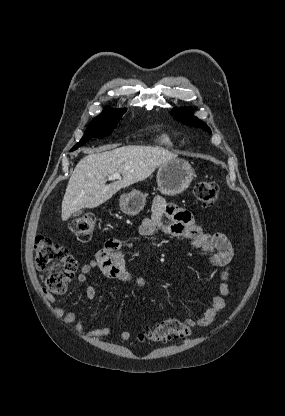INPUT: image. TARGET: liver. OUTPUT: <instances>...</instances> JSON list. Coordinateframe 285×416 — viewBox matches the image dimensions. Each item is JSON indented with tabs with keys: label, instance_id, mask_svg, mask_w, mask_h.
<instances>
[{
	"label": "liver",
	"instance_id": "1",
	"mask_svg": "<svg viewBox=\"0 0 285 416\" xmlns=\"http://www.w3.org/2000/svg\"><path fill=\"white\" fill-rule=\"evenodd\" d=\"M101 146L95 150L82 148L88 154L77 164L66 188L62 202L63 222L82 208H97L110 200L121 188H128L136 182H143L155 172L158 166L177 158L164 148L149 146ZM110 150V152H104ZM112 174H122V180L106 184Z\"/></svg>",
	"mask_w": 285,
	"mask_h": 416
}]
</instances>
